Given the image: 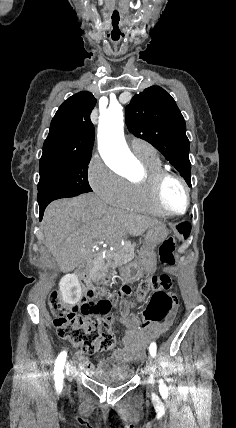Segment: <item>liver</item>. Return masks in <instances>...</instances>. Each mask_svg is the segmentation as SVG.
<instances>
[{"label":"liver","instance_id":"6515ba94","mask_svg":"<svg viewBox=\"0 0 236 428\" xmlns=\"http://www.w3.org/2000/svg\"><path fill=\"white\" fill-rule=\"evenodd\" d=\"M159 224L148 216L120 212L95 194L72 200H55L47 206L41 230L44 246L54 256L61 272H71L92 258L98 242L117 244L125 234L142 236Z\"/></svg>","mask_w":236,"mask_h":428}]
</instances>
